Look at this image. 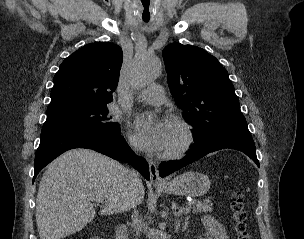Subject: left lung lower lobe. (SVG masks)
Returning <instances> with one entry per match:
<instances>
[{
    "instance_id": "0a47b994",
    "label": "left lung lower lobe",
    "mask_w": 304,
    "mask_h": 239,
    "mask_svg": "<svg viewBox=\"0 0 304 239\" xmlns=\"http://www.w3.org/2000/svg\"><path fill=\"white\" fill-rule=\"evenodd\" d=\"M225 148L235 149L245 153L257 164L258 167L260 166L256 156L255 144L251 135L230 134L196 145V147L188 152L187 156L181 160L161 163L159 166V174L161 177H165L210 152Z\"/></svg>"
}]
</instances>
